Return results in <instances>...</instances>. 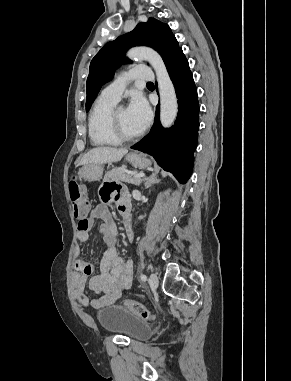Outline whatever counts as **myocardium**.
Listing matches in <instances>:
<instances>
[{"instance_id": "f54148a6", "label": "myocardium", "mask_w": 291, "mask_h": 381, "mask_svg": "<svg viewBox=\"0 0 291 381\" xmlns=\"http://www.w3.org/2000/svg\"><path fill=\"white\" fill-rule=\"evenodd\" d=\"M123 108V107H114L109 115V129H110V132L112 133V135L120 142H131V141H135L137 139H139L144 131L141 130L138 134L136 135H126L120 125H119V121H118V111Z\"/></svg>"}]
</instances>
